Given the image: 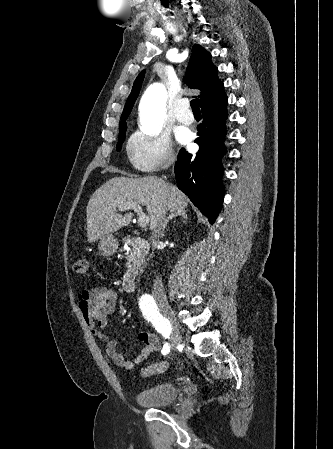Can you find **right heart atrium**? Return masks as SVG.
Here are the masks:
<instances>
[{"label":"right heart atrium","mask_w":333,"mask_h":449,"mask_svg":"<svg viewBox=\"0 0 333 449\" xmlns=\"http://www.w3.org/2000/svg\"><path fill=\"white\" fill-rule=\"evenodd\" d=\"M127 155L133 166L141 172H153L171 165L174 151L171 141L164 134L134 133L127 145Z\"/></svg>","instance_id":"1"}]
</instances>
